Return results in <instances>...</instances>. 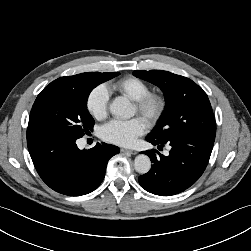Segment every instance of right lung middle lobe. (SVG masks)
<instances>
[{
	"mask_svg": "<svg viewBox=\"0 0 251 251\" xmlns=\"http://www.w3.org/2000/svg\"><path fill=\"white\" fill-rule=\"evenodd\" d=\"M119 73L88 72L72 84H49L37 96L28 128L63 137L81 138L93 130L94 120L87 110L90 92Z\"/></svg>",
	"mask_w": 251,
	"mask_h": 251,
	"instance_id": "1",
	"label": "right lung middle lobe"
}]
</instances>
